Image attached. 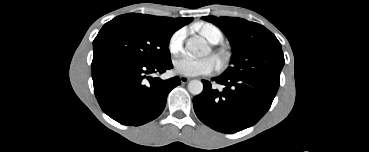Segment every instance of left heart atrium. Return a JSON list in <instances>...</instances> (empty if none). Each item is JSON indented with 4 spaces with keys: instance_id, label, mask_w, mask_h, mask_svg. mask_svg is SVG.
I'll use <instances>...</instances> for the list:
<instances>
[{
    "instance_id": "39dd6f15",
    "label": "left heart atrium",
    "mask_w": 369,
    "mask_h": 152,
    "mask_svg": "<svg viewBox=\"0 0 369 152\" xmlns=\"http://www.w3.org/2000/svg\"><path fill=\"white\" fill-rule=\"evenodd\" d=\"M217 67V62L213 57L201 59L183 56L174 61V68L177 73L183 76H199L213 72Z\"/></svg>"
}]
</instances>
